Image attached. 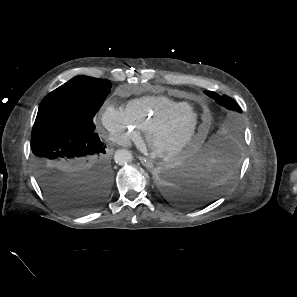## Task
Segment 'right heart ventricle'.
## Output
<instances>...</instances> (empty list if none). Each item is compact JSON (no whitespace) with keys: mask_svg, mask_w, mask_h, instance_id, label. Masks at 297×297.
Wrapping results in <instances>:
<instances>
[{"mask_svg":"<svg viewBox=\"0 0 297 297\" xmlns=\"http://www.w3.org/2000/svg\"><path fill=\"white\" fill-rule=\"evenodd\" d=\"M189 104L164 95H147L130 101L125 111L141 132L165 113L182 109Z\"/></svg>","mask_w":297,"mask_h":297,"instance_id":"right-heart-ventricle-1","label":"right heart ventricle"}]
</instances>
